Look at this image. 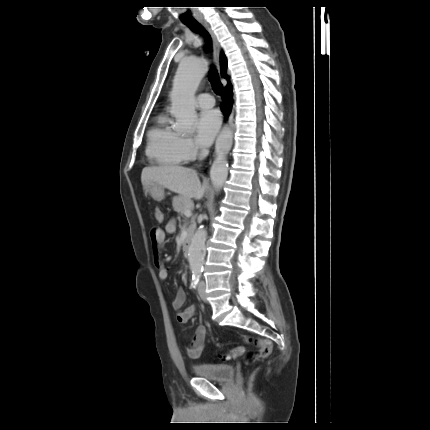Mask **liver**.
Instances as JSON below:
<instances>
[{"label": "liver", "instance_id": "1", "mask_svg": "<svg viewBox=\"0 0 430 430\" xmlns=\"http://www.w3.org/2000/svg\"><path fill=\"white\" fill-rule=\"evenodd\" d=\"M156 182L185 199L201 200L206 191V184L201 185L197 172L191 168L163 165L145 167L141 173V182Z\"/></svg>", "mask_w": 430, "mask_h": 430}]
</instances>
